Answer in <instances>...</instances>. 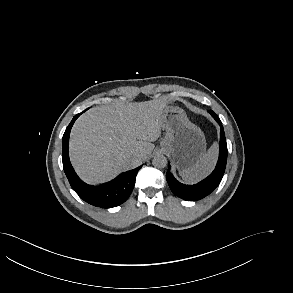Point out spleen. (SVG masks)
Wrapping results in <instances>:
<instances>
[{"instance_id": "obj_1", "label": "spleen", "mask_w": 293, "mask_h": 293, "mask_svg": "<svg viewBox=\"0 0 293 293\" xmlns=\"http://www.w3.org/2000/svg\"><path fill=\"white\" fill-rule=\"evenodd\" d=\"M218 156L217 143L208 149V151L191 167L179 171L181 178L188 183H195L206 177L214 168Z\"/></svg>"}]
</instances>
